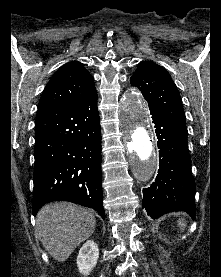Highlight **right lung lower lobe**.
<instances>
[{
	"instance_id": "obj_1",
	"label": "right lung lower lobe",
	"mask_w": 221,
	"mask_h": 277,
	"mask_svg": "<svg viewBox=\"0 0 221 277\" xmlns=\"http://www.w3.org/2000/svg\"><path fill=\"white\" fill-rule=\"evenodd\" d=\"M34 156V215L47 202L69 201L105 219L97 93L76 104L38 109Z\"/></svg>"
}]
</instances>
